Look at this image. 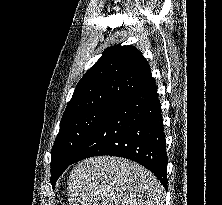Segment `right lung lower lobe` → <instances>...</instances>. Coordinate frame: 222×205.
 <instances>
[{
  "mask_svg": "<svg viewBox=\"0 0 222 205\" xmlns=\"http://www.w3.org/2000/svg\"><path fill=\"white\" fill-rule=\"evenodd\" d=\"M161 105L155 81L120 100L97 124L76 152L71 164L111 155L148 168L167 187V156Z\"/></svg>",
  "mask_w": 222,
  "mask_h": 205,
  "instance_id": "1",
  "label": "right lung lower lobe"
}]
</instances>
